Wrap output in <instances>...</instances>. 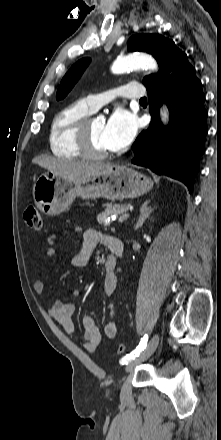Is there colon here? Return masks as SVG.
<instances>
[{
  "mask_svg": "<svg viewBox=\"0 0 221 440\" xmlns=\"http://www.w3.org/2000/svg\"><path fill=\"white\" fill-rule=\"evenodd\" d=\"M24 219L27 225L35 230H40L42 228V219L40 212L37 207L29 206L24 212ZM125 350V346L123 344H118L116 347V351L118 354H122Z\"/></svg>",
  "mask_w": 221,
  "mask_h": 440,
  "instance_id": "5ec220e1",
  "label": "colon"
}]
</instances>
